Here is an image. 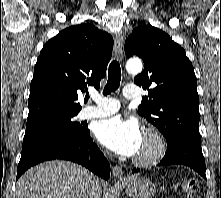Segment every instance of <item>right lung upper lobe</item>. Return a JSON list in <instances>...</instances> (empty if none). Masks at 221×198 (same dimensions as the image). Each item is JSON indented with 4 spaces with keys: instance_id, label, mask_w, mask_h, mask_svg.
Wrapping results in <instances>:
<instances>
[{
    "instance_id": "obj_1",
    "label": "right lung upper lobe",
    "mask_w": 221,
    "mask_h": 198,
    "mask_svg": "<svg viewBox=\"0 0 221 198\" xmlns=\"http://www.w3.org/2000/svg\"><path fill=\"white\" fill-rule=\"evenodd\" d=\"M112 48L113 38L91 24L69 27L50 39L34 68L27 122L79 112L78 96L87 85L100 87Z\"/></svg>"
}]
</instances>
